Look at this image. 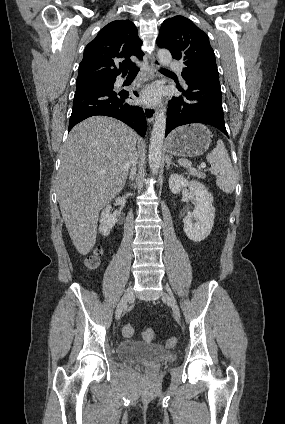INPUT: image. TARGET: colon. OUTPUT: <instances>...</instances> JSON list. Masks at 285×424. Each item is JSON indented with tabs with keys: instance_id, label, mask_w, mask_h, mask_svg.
Returning <instances> with one entry per match:
<instances>
[{
	"instance_id": "obj_1",
	"label": "colon",
	"mask_w": 285,
	"mask_h": 424,
	"mask_svg": "<svg viewBox=\"0 0 285 424\" xmlns=\"http://www.w3.org/2000/svg\"><path fill=\"white\" fill-rule=\"evenodd\" d=\"M103 254L102 249L95 250L90 256H88L85 260V266L89 270H95L99 267L101 263V257ZM134 328L131 324H127L123 328V335L125 337H130L133 335ZM142 337L146 341H151L154 338V330L151 328H147L143 330ZM168 345H175L176 344V338L171 337L167 340Z\"/></svg>"
}]
</instances>
